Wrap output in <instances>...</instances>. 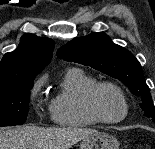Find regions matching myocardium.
I'll return each mask as SVG.
<instances>
[{
	"label": "myocardium",
	"mask_w": 155,
	"mask_h": 149,
	"mask_svg": "<svg viewBox=\"0 0 155 149\" xmlns=\"http://www.w3.org/2000/svg\"><path fill=\"white\" fill-rule=\"evenodd\" d=\"M104 86H108L115 89L118 92V94L121 96L124 104V112L121 117L116 119H106L99 112L96 105L95 98L98 90ZM85 103H86V108L88 112L91 114V116L95 118L98 122L104 123V124H117L124 121L127 118L129 114V109H130L129 100L126 93L118 84L112 81H96L95 83H93L86 92Z\"/></svg>",
	"instance_id": "myocardium-1"
}]
</instances>
